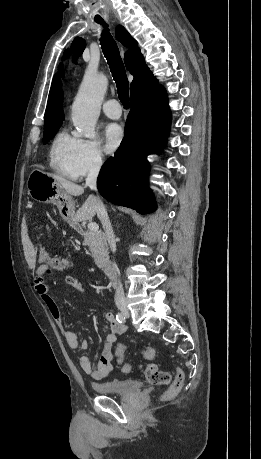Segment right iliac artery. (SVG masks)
<instances>
[{
	"instance_id": "82829eb1",
	"label": "right iliac artery",
	"mask_w": 261,
	"mask_h": 459,
	"mask_svg": "<svg viewBox=\"0 0 261 459\" xmlns=\"http://www.w3.org/2000/svg\"><path fill=\"white\" fill-rule=\"evenodd\" d=\"M116 319L119 323H124L126 320L125 315L123 313H118L116 315Z\"/></svg>"
}]
</instances>
